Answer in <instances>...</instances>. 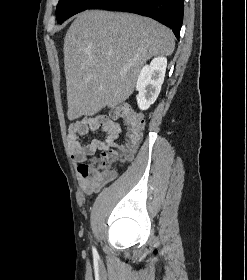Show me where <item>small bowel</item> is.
Instances as JSON below:
<instances>
[{
  "label": "small bowel",
  "mask_w": 247,
  "mask_h": 280,
  "mask_svg": "<svg viewBox=\"0 0 247 280\" xmlns=\"http://www.w3.org/2000/svg\"><path fill=\"white\" fill-rule=\"evenodd\" d=\"M97 130H101L105 134L104 139L95 138L87 144L82 143V137ZM121 132L120 124L105 114L86 117L70 124L68 139L72 150V160L76 165L78 184L86 194L98 192L116 176L113 171L109 179H97L86 174L82 168L96 151L105 152L117 146Z\"/></svg>",
  "instance_id": "small-bowel-1"
}]
</instances>
